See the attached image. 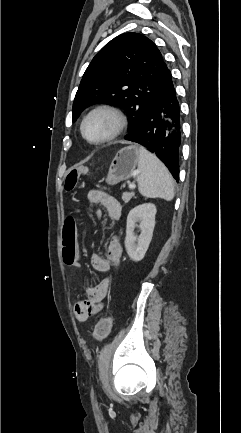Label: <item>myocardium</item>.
<instances>
[{
    "instance_id": "1",
    "label": "myocardium",
    "mask_w": 241,
    "mask_h": 433,
    "mask_svg": "<svg viewBox=\"0 0 241 433\" xmlns=\"http://www.w3.org/2000/svg\"><path fill=\"white\" fill-rule=\"evenodd\" d=\"M99 113L108 114L113 119L114 126H113L112 130L110 131V133L108 135H106L105 137L98 139V140H90L85 135L84 127H85L86 122L91 117H93L94 115L99 114ZM126 126H127V118H126L125 114L119 108L112 106V105H108V104H102V105H98V106L92 108L89 112H87L85 114V116L83 117L81 124H80V133H81L82 138L86 142H88L91 145L98 146V145L107 144L109 142H112L116 138H118L123 133Z\"/></svg>"
}]
</instances>
